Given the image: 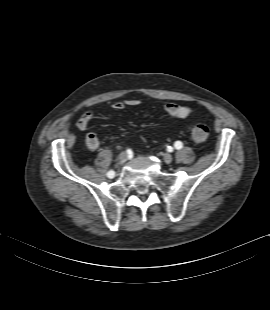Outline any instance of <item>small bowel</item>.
I'll return each mask as SVG.
<instances>
[{"mask_svg":"<svg viewBox=\"0 0 270 310\" xmlns=\"http://www.w3.org/2000/svg\"><path fill=\"white\" fill-rule=\"evenodd\" d=\"M140 105V100L135 99V98H131V99H127L125 101H119V102H115L112 107L113 109L117 110V111H122L124 110L127 106L130 107H136ZM165 112L171 116L172 118L175 119H184L186 118L190 113H191V108L188 106H181V105H177V104H173V103H169L167 105H165ZM94 113L93 111H87L84 114H82L76 121V126L79 130H86L89 126V123L91 121V119L93 118ZM86 144L87 146L94 150L97 149L99 147L100 141L98 136L93 133L90 132L87 134L86 137Z\"/></svg>","mask_w":270,"mask_h":310,"instance_id":"obj_1","label":"small bowel"}]
</instances>
